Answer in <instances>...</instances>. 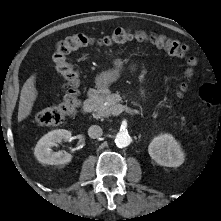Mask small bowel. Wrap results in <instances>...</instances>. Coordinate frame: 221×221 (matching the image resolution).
I'll return each mask as SVG.
<instances>
[{"label": "small bowel", "mask_w": 221, "mask_h": 221, "mask_svg": "<svg viewBox=\"0 0 221 221\" xmlns=\"http://www.w3.org/2000/svg\"><path fill=\"white\" fill-rule=\"evenodd\" d=\"M130 69L132 72H135L137 70V65L135 63H132L130 66ZM144 75H145V70L142 69L141 74H140V79H143Z\"/></svg>", "instance_id": "obj_1"}]
</instances>
